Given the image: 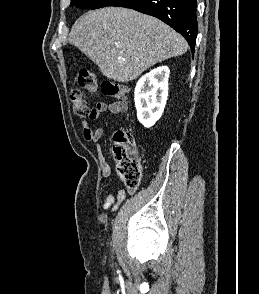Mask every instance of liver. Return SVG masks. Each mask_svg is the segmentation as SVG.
<instances>
[{"instance_id": "obj_1", "label": "liver", "mask_w": 259, "mask_h": 294, "mask_svg": "<svg viewBox=\"0 0 259 294\" xmlns=\"http://www.w3.org/2000/svg\"><path fill=\"white\" fill-rule=\"evenodd\" d=\"M68 40L105 77L120 83L137 79L149 67L188 49L185 39L167 24L121 7L85 13L73 25Z\"/></svg>"}]
</instances>
